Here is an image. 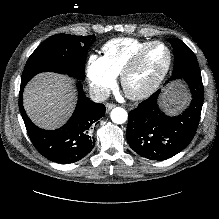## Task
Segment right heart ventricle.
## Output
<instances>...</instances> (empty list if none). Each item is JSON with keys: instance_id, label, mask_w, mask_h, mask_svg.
Segmentation results:
<instances>
[{"instance_id": "obj_1", "label": "right heart ventricle", "mask_w": 219, "mask_h": 219, "mask_svg": "<svg viewBox=\"0 0 219 219\" xmlns=\"http://www.w3.org/2000/svg\"><path fill=\"white\" fill-rule=\"evenodd\" d=\"M151 41L131 37H118L106 42L103 47V60L115 76L121 74L128 61Z\"/></svg>"}]
</instances>
